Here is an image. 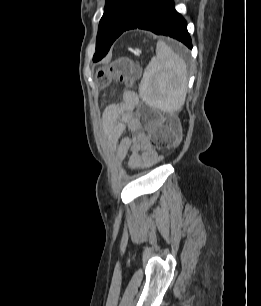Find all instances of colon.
Instances as JSON below:
<instances>
[{
	"instance_id": "1",
	"label": "colon",
	"mask_w": 261,
	"mask_h": 306,
	"mask_svg": "<svg viewBox=\"0 0 261 306\" xmlns=\"http://www.w3.org/2000/svg\"><path fill=\"white\" fill-rule=\"evenodd\" d=\"M97 78L102 84L116 80L129 86L138 78V69L132 60L122 57L114 60L108 67L100 68ZM141 122L149 129L151 144L156 148L167 149L175 144L173 125L161 123L156 113L144 111Z\"/></svg>"
}]
</instances>
